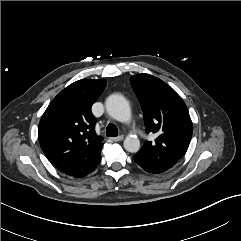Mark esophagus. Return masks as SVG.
<instances>
[{
    "mask_svg": "<svg viewBox=\"0 0 241 241\" xmlns=\"http://www.w3.org/2000/svg\"><path fill=\"white\" fill-rule=\"evenodd\" d=\"M123 139H124L123 135L111 138V140L114 141V142L122 141Z\"/></svg>",
    "mask_w": 241,
    "mask_h": 241,
    "instance_id": "1",
    "label": "esophagus"
}]
</instances>
